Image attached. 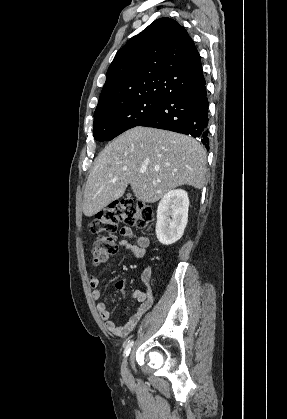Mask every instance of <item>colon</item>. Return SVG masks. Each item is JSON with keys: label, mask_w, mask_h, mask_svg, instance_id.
Masks as SVG:
<instances>
[{"label": "colon", "mask_w": 287, "mask_h": 419, "mask_svg": "<svg viewBox=\"0 0 287 419\" xmlns=\"http://www.w3.org/2000/svg\"><path fill=\"white\" fill-rule=\"evenodd\" d=\"M154 218L151 207L134 198H121L101 210L91 222V231L99 237L91 245L95 264L106 262L116 252L117 246L112 235L120 223L145 227Z\"/></svg>", "instance_id": "5ec220e1"}]
</instances>
